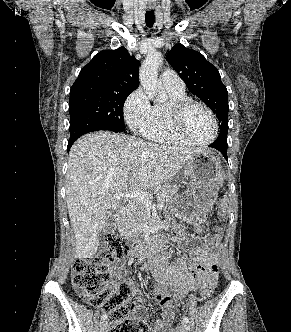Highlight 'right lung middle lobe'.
<instances>
[{"label":"right lung middle lobe","mask_w":291,"mask_h":332,"mask_svg":"<svg viewBox=\"0 0 291 332\" xmlns=\"http://www.w3.org/2000/svg\"><path fill=\"white\" fill-rule=\"evenodd\" d=\"M131 92H106L70 98V121L81 114L91 116L100 121L102 130L123 132V106Z\"/></svg>","instance_id":"right-lung-middle-lobe-1"}]
</instances>
